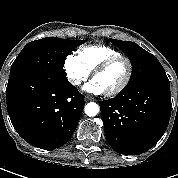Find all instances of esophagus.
I'll use <instances>...</instances> for the list:
<instances>
[{"mask_svg":"<svg viewBox=\"0 0 178 178\" xmlns=\"http://www.w3.org/2000/svg\"><path fill=\"white\" fill-rule=\"evenodd\" d=\"M92 100H93V98L90 97V96H86V97H85V101H86V102H89V101H92Z\"/></svg>","mask_w":178,"mask_h":178,"instance_id":"obj_1","label":"esophagus"}]
</instances>
